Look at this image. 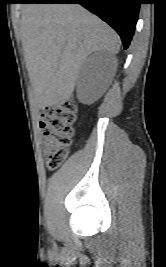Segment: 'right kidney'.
Listing matches in <instances>:
<instances>
[{
    "label": "right kidney",
    "instance_id": "ca27d5eb",
    "mask_svg": "<svg viewBox=\"0 0 166 267\" xmlns=\"http://www.w3.org/2000/svg\"><path fill=\"white\" fill-rule=\"evenodd\" d=\"M90 60L93 69L84 68L78 81L77 97L83 104H92L101 97L107 87L106 74L111 68L109 60L101 53L92 55Z\"/></svg>",
    "mask_w": 166,
    "mask_h": 267
}]
</instances>
